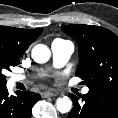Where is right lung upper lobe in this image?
<instances>
[{
    "label": "right lung upper lobe",
    "mask_w": 118,
    "mask_h": 118,
    "mask_svg": "<svg viewBox=\"0 0 118 118\" xmlns=\"http://www.w3.org/2000/svg\"><path fill=\"white\" fill-rule=\"evenodd\" d=\"M41 29H19L0 26V47L12 54L22 57L24 52L42 32Z\"/></svg>",
    "instance_id": "cb5924a9"
}]
</instances>
